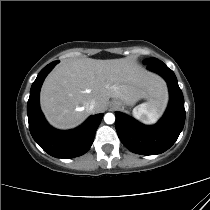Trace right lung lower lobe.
I'll list each match as a JSON object with an SVG mask.
<instances>
[{"label": "right lung lower lobe", "instance_id": "obj_1", "mask_svg": "<svg viewBox=\"0 0 210 210\" xmlns=\"http://www.w3.org/2000/svg\"><path fill=\"white\" fill-rule=\"evenodd\" d=\"M58 62L45 66L33 82L27 114L30 133L40 147L53 157L67 159L81 156L90 149L103 114L91 116L80 127L68 131L56 130L46 122L39 106V92L45 77Z\"/></svg>", "mask_w": 210, "mask_h": 210}]
</instances>
